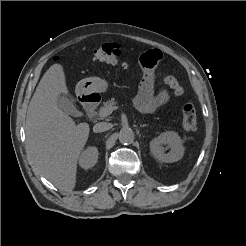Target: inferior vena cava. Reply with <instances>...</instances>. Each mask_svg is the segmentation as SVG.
Here are the masks:
<instances>
[{
  "instance_id": "inferior-vena-cava-1",
  "label": "inferior vena cava",
  "mask_w": 246,
  "mask_h": 246,
  "mask_svg": "<svg viewBox=\"0 0 246 246\" xmlns=\"http://www.w3.org/2000/svg\"><path fill=\"white\" fill-rule=\"evenodd\" d=\"M112 127L110 123L100 122L93 126V132L100 133L109 130Z\"/></svg>"
}]
</instances>
